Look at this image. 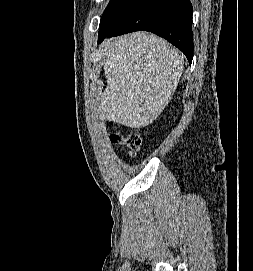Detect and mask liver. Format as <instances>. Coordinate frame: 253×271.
<instances>
[{
    "instance_id": "6515ba94",
    "label": "liver",
    "mask_w": 253,
    "mask_h": 271,
    "mask_svg": "<svg viewBox=\"0 0 253 271\" xmlns=\"http://www.w3.org/2000/svg\"><path fill=\"white\" fill-rule=\"evenodd\" d=\"M101 47L107 78L100 98L102 117L137 129L151 124L177 88L183 55L164 39L146 32L106 40Z\"/></svg>"
}]
</instances>
